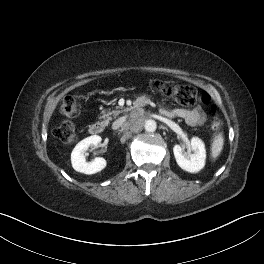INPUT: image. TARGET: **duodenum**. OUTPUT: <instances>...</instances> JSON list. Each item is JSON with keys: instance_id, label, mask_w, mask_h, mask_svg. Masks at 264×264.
I'll list each match as a JSON object with an SVG mask.
<instances>
[{"instance_id": "410a0bca", "label": "duodenum", "mask_w": 264, "mask_h": 264, "mask_svg": "<svg viewBox=\"0 0 264 264\" xmlns=\"http://www.w3.org/2000/svg\"><path fill=\"white\" fill-rule=\"evenodd\" d=\"M144 103V101L141 100H137L134 104V107H139L142 106V104ZM105 130V124L101 121H96L93 122L90 126H89V132L92 135H99L101 133H103Z\"/></svg>"}]
</instances>
